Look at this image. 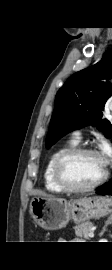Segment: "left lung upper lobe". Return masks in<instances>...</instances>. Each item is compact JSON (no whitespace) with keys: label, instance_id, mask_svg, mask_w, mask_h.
<instances>
[{"label":"left lung upper lobe","instance_id":"left-lung-upper-lobe-1","mask_svg":"<svg viewBox=\"0 0 112 270\" xmlns=\"http://www.w3.org/2000/svg\"><path fill=\"white\" fill-rule=\"evenodd\" d=\"M112 49L97 64L72 75L59 89L46 138L50 148L67 133L98 123L107 138H112V125L102 120L105 103L112 96Z\"/></svg>","mask_w":112,"mask_h":270}]
</instances>
